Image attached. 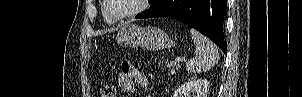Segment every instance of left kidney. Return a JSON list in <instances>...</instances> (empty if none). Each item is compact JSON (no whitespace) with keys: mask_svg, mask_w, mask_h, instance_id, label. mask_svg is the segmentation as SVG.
<instances>
[{"mask_svg":"<svg viewBox=\"0 0 302 97\" xmlns=\"http://www.w3.org/2000/svg\"><path fill=\"white\" fill-rule=\"evenodd\" d=\"M209 82L206 79L190 80L182 84L172 97H207Z\"/></svg>","mask_w":302,"mask_h":97,"instance_id":"obj_1","label":"left kidney"}]
</instances>
